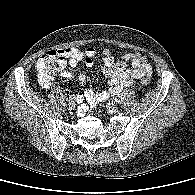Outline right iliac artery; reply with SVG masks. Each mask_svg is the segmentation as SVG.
<instances>
[{"label":"right iliac artery","instance_id":"82829eb1","mask_svg":"<svg viewBox=\"0 0 195 195\" xmlns=\"http://www.w3.org/2000/svg\"><path fill=\"white\" fill-rule=\"evenodd\" d=\"M75 97H74V95H69V99H74Z\"/></svg>","mask_w":195,"mask_h":195}]
</instances>
